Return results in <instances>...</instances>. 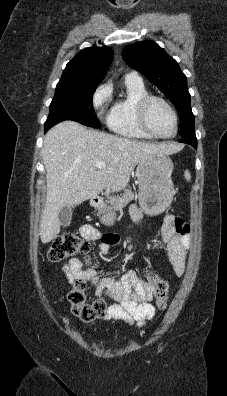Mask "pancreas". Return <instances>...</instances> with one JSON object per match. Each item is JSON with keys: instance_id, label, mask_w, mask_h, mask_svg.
I'll list each match as a JSON object with an SVG mask.
<instances>
[{"instance_id": "1", "label": "pancreas", "mask_w": 227, "mask_h": 396, "mask_svg": "<svg viewBox=\"0 0 227 396\" xmlns=\"http://www.w3.org/2000/svg\"><path fill=\"white\" fill-rule=\"evenodd\" d=\"M107 198L109 199L108 203L111 205L109 209L117 210L128 204L134 198V193L131 191V189H125L123 195L121 196H109L108 192Z\"/></svg>"}]
</instances>
